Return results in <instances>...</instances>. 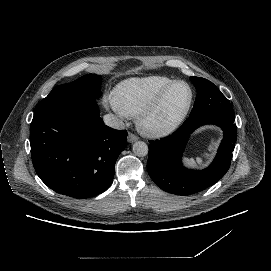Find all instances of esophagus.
<instances>
[{"label":"esophagus","instance_id":"1","mask_svg":"<svg viewBox=\"0 0 271 271\" xmlns=\"http://www.w3.org/2000/svg\"><path fill=\"white\" fill-rule=\"evenodd\" d=\"M139 139L138 136H136L135 134L133 133H129L128 134V142L129 143H134L135 141H137Z\"/></svg>","mask_w":271,"mask_h":271}]
</instances>
